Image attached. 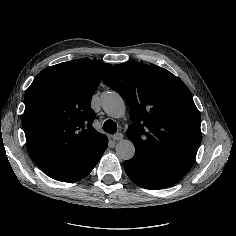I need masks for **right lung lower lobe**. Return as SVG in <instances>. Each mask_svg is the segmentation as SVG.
I'll use <instances>...</instances> for the list:
<instances>
[{
    "instance_id": "right-lung-lower-lobe-1",
    "label": "right lung lower lobe",
    "mask_w": 236,
    "mask_h": 236,
    "mask_svg": "<svg viewBox=\"0 0 236 236\" xmlns=\"http://www.w3.org/2000/svg\"><path fill=\"white\" fill-rule=\"evenodd\" d=\"M108 140L98 150L88 155L79 165H77L70 173L65 175L60 181L63 182H77L86 177L95 167L102 154L106 150Z\"/></svg>"
}]
</instances>
